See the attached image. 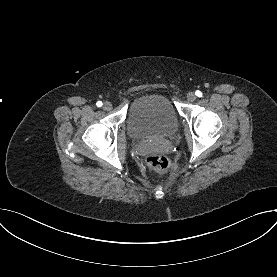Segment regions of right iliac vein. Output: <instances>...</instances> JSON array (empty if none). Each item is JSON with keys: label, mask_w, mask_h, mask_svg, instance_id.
Listing matches in <instances>:
<instances>
[{"label": "right iliac vein", "mask_w": 277, "mask_h": 277, "mask_svg": "<svg viewBox=\"0 0 277 277\" xmlns=\"http://www.w3.org/2000/svg\"><path fill=\"white\" fill-rule=\"evenodd\" d=\"M103 109L106 110V111L111 110L112 109V104L108 101L104 102Z\"/></svg>", "instance_id": "63e3f726"}]
</instances>
